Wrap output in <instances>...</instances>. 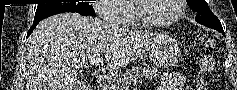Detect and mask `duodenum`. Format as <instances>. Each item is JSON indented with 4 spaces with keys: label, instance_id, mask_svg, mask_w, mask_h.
<instances>
[{
    "label": "duodenum",
    "instance_id": "obj_1",
    "mask_svg": "<svg viewBox=\"0 0 237 90\" xmlns=\"http://www.w3.org/2000/svg\"><path fill=\"white\" fill-rule=\"evenodd\" d=\"M99 90H113L112 87H99Z\"/></svg>",
    "mask_w": 237,
    "mask_h": 90
}]
</instances>
